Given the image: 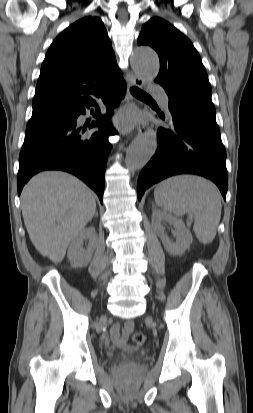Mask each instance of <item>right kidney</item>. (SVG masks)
I'll use <instances>...</instances> for the list:
<instances>
[{
  "label": "right kidney",
  "mask_w": 253,
  "mask_h": 413,
  "mask_svg": "<svg viewBox=\"0 0 253 413\" xmlns=\"http://www.w3.org/2000/svg\"><path fill=\"white\" fill-rule=\"evenodd\" d=\"M88 241L86 249L82 247L83 242ZM97 247V233L94 227L83 229L72 241L68 248V260L72 267H85L92 259Z\"/></svg>",
  "instance_id": "ca27d5eb"
}]
</instances>
